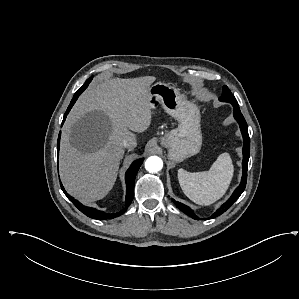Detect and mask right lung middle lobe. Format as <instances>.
Wrapping results in <instances>:
<instances>
[{
	"mask_svg": "<svg viewBox=\"0 0 299 299\" xmlns=\"http://www.w3.org/2000/svg\"><path fill=\"white\" fill-rule=\"evenodd\" d=\"M91 80H92V77L91 78H89L85 83H84V85L76 92V93H81V92H83L86 88H87V86H88V84L91 82Z\"/></svg>",
	"mask_w": 299,
	"mask_h": 299,
	"instance_id": "obj_1",
	"label": "right lung middle lobe"
}]
</instances>
